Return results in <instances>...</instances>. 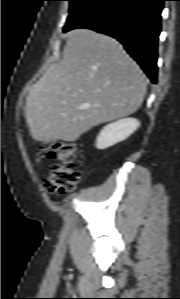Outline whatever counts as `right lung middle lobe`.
Instances as JSON below:
<instances>
[{
	"label": "right lung middle lobe",
	"instance_id": "dd1d6c3e",
	"mask_svg": "<svg viewBox=\"0 0 180 299\" xmlns=\"http://www.w3.org/2000/svg\"><path fill=\"white\" fill-rule=\"evenodd\" d=\"M70 2L69 16L64 27L67 28L72 25L76 20L89 12L96 5L104 0H68Z\"/></svg>",
	"mask_w": 180,
	"mask_h": 299
}]
</instances>
